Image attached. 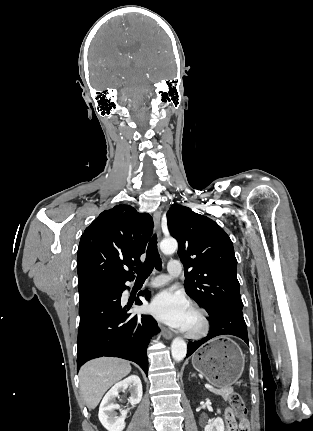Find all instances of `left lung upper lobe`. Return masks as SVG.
Masks as SVG:
<instances>
[{
	"mask_svg": "<svg viewBox=\"0 0 313 431\" xmlns=\"http://www.w3.org/2000/svg\"><path fill=\"white\" fill-rule=\"evenodd\" d=\"M167 223L184 263L186 293L210 317L221 310H242L237 260L226 232L212 219L182 205L169 209Z\"/></svg>",
	"mask_w": 313,
	"mask_h": 431,
	"instance_id": "obj_1",
	"label": "left lung upper lobe"
}]
</instances>
